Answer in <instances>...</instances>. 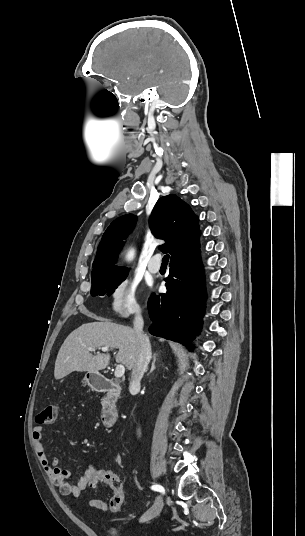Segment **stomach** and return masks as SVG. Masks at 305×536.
<instances>
[{
  "label": "stomach",
  "mask_w": 305,
  "mask_h": 536,
  "mask_svg": "<svg viewBox=\"0 0 305 536\" xmlns=\"http://www.w3.org/2000/svg\"><path fill=\"white\" fill-rule=\"evenodd\" d=\"M99 380L101 378L97 372H92V374H86L85 378H83V384H87L90 388H97L99 386Z\"/></svg>",
  "instance_id": "stomach-1"
}]
</instances>
